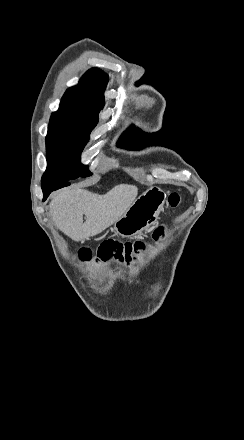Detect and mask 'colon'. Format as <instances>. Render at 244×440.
Segmentation results:
<instances>
[{
	"instance_id": "5ec220e1",
	"label": "colon",
	"mask_w": 244,
	"mask_h": 440,
	"mask_svg": "<svg viewBox=\"0 0 244 440\" xmlns=\"http://www.w3.org/2000/svg\"><path fill=\"white\" fill-rule=\"evenodd\" d=\"M181 202L178 193H172L168 197V203L172 208H176ZM162 228H157L153 233V238L159 240L162 238ZM151 247L149 243L143 241L119 243L114 241L103 242L97 249V253H93L91 248H80L74 253L85 262H98L101 259L104 262L115 258L118 266L129 267L132 264L141 262L142 254ZM82 269L86 268L85 264L81 265Z\"/></svg>"
}]
</instances>
